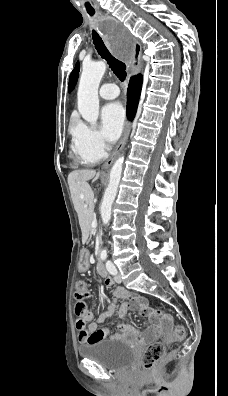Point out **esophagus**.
<instances>
[{
    "label": "esophagus",
    "mask_w": 228,
    "mask_h": 396,
    "mask_svg": "<svg viewBox=\"0 0 228 396\" xmlns=\"http://www.w3.org/2000/svg\"><path fill=\"white\" fill-rule=\"evenodd\" d=\"M141 53H142L141 44L138 41H135L134 48H133V58L130 62V73L132 75L138 74L142 69ZM129 133H130V121H127L123 136L120 139L118 145L116 146V148H115L114 152L112 153V155L110 156V158L104 163L103 169H107L112 165L115 158L118 156V154L124 148V146L127 142Z\"/></svg>",
    "instance_id": "esophagus-1"
}]
</instances>
